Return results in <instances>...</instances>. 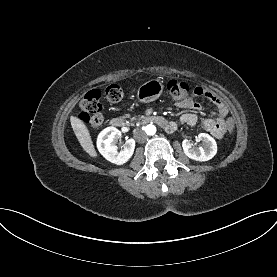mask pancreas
<instances>
[{"label": "pancreas", "instance_id": "obj_1", "mask_svg": "<svg viewBox=\"0 0 277 277\" xmlns=\"http://www.w3.org/2000/svg\"><path fill=\"white\" fill-rule=\"evenodd\" d=\"M130 119H131V121H135V120H136V118H135V117H131Z\"/></svg>", "mask_w": 277, "mask_h": 277}]
</instances>
